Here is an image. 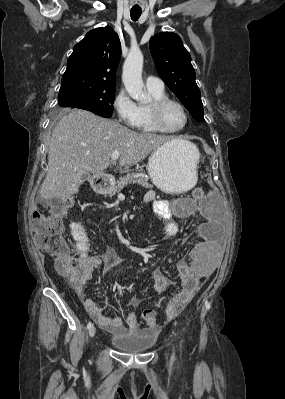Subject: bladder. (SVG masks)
Instances as JSON below:
<instances>
[{"instance_id": "obj_1", "label": "bladder", "mask_w": 285, "mask_h": 399, "mask_svg": "<svg viewBox=\"0 0 285 399\" xmlns=\"http://www.w3.org/2000/svg\"><path fill=\"white\" fill-rule=\"evenodd\" d=\"M110 343L119 351L127 354H139L149 351L155 343L153 330H135L133 334L112 337Z\"/></svg>"}]
</instances>
